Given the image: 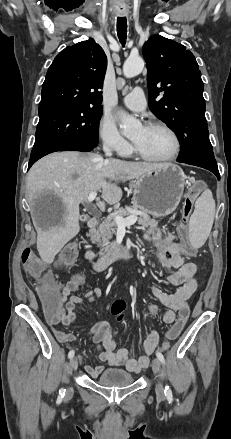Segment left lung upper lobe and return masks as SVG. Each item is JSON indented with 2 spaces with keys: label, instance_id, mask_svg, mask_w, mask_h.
<instances>
[{
  "label": "left lung upper lobe",
  "instance_id": "5c2ea615",
  "mask_svg": "<svg viewBox=\"0 0 231 439\" xmlns=\"http://www.w3.org/2000/svg\"><path fill=\"white\" fill-rule=\"evenodd\" d=\"M142 53L148 71L149 108L176 132L181 143L178 159L216 164L205 118L204 84L194 55L160 35L151 36Z\"/></svg>",
  "mask_w": 231,
  "mask_h": 439
}]
</instances>
